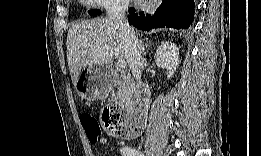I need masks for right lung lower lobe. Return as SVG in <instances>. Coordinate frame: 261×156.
<instances>
[{
  "label": "right lung lower lobe",
  "mask_w": 261,
  "mask_h": 156,
  "mask_svg": "<svg viewBox=\"0 0 261 156\" xmlns=\"http://www.w3.org/2000/svg\"><path fill=\"white\" fill-rule=\"evenodd\" d=\"M194 6L193 0H162L152 16L144 12L134 13V8H130L128 21L143 31L164 27L187 29L194 18Z\"/></svg>",
  "instance_id": "obj_1"
}]
</instances>
